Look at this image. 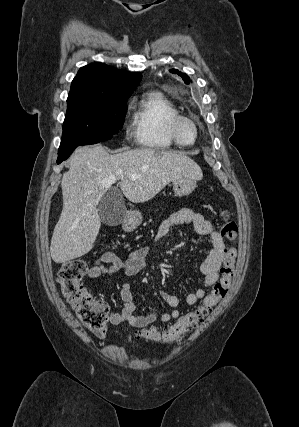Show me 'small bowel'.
Segmentation results:
<instances>
[{
    "mask_svg": "<svg viewBox=\"0 0 299 427\" xmlns=\"http://www.w3.org/2000/svg\"><path fill=\"white\" fill-rule=\"evenodd\" d=\"M181 224H192L198 234L210 238L211 249L201 266V272L205 287H211L219 278V270L225 257V246L222 237L212 221L207 219L202 213L192 208H182L162 221L155 237L156 241L163 239L175 226ZM149 253V247H140L131 251L125 260H122L112 252L103 253L96 260L94 266L89 269L87 277L89 280H93L101 275L111 274L119 270H123L128 276L137 275L147 267ZM205 293V289L203 288H198L189 293L185 299L187 305L196 304L204 298ZM160 296L172 308L170 312L163 313L160 316V320L167 323L178 318L180 316V311L177 309L180 304L179 298L166 291H162ZM120 297L123 307L120 311L110 312L109 321L111 324L118 325L127 322L135 328L142 329L158 319L154 313L147 315L134 314L136 306L133 301L130 283L122 284Z\"/></svg>",
    "mask_w": 299,
    "mask_h": 427,
    "instance_id": "1",
    "label": "small bowel"
}]
</instances>
